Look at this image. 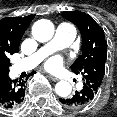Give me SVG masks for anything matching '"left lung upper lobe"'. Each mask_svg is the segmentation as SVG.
I'll return each mask as SVG.
<instances>
[{
  "label": "left lung upper lobe",
  "instance_id": "obj_1",
  "mask_svg": "<svg viewBox=\"0 0 117 117\" xmlns=\"http://www.w3.org/2000/svg\"><path fill=\"white\" fill-rule=\"evenodd\" d=\"M64 18L76 24L82 36V54L72 64L75 74H82L83 81L96 92L100 89L107 59V42L103 29L88 14L64 11Z\"/></svg>",
  "mask_w": 117,
  "mask_h": 117
}]
</instances>
